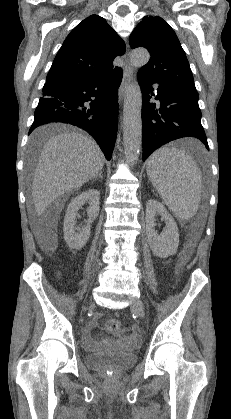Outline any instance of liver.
Returning <instances> with one entry per match:
<instances>
[{"mask_svg": "<svg viewBox=\"0 0 231 419\" xmlns=\"http://www.w3.org/2000/svg\"><path fill=\"white\" fill-rule=\"evenodd\" d=\"M48 126L37 128L33 141L41 140ZM105 157L97 143L90 137L65 132L51 138L43 147L35 168L32 198L35 212L42 215L48 206L65 193L80 188L101 172ZM53 245L57 238L53 234Z\"/></svg>", "mask_w": 231, "mask_h": 419, "instance_id": "obj_1", "label": "liver"}]
</instances>
